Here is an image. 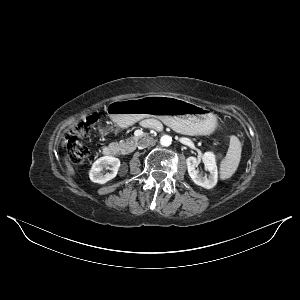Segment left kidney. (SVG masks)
Wrapping results in <instances>:
<instances>
[{"label":"left kidney","instance_id":"left-kidney-1","mask_svg":"<svg viewBox=\"0 0 300 300\" xmlns=\"http://www.w3.org/2000/svg\"><path fill=\"white\" fill-rule=\"evenodd\" d=\"M201 159L205 165V169L209 171L208 177L199 174L198 170L196 169ZM186 163L189 176L195 184L206 189H211L216 185L218 180V170L216 158L213 152H205L198 158L190 156L186 159Z\"/></svg>","mask_w":300,"mask_h":300}]
</instances>
